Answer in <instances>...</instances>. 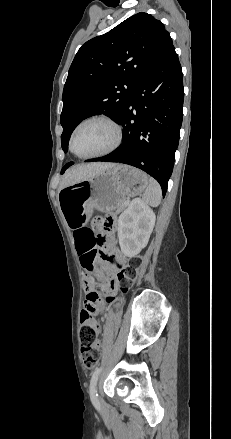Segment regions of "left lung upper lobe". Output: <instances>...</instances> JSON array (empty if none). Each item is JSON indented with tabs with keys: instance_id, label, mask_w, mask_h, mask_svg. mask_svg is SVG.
<instances>
[{
	"instance_id": "1",
	"label": "left lung upper lobe",
	"mask_w": 231,
	"mask_h": 439,
	"mask_svg": "<svg viewBox=\"0 0 231 439\" xmlns=\"http://www.w3.org/2000/svg\"><path fill=\"white\" fill-rule=\"evenodd\" d=\"M172 46L163 23L144 12L84 43L70 66L63 90L64 152L68 151L71 133L87 117L103 113L118 121L134 87Z\"/></svg>"
}]
</instances>
